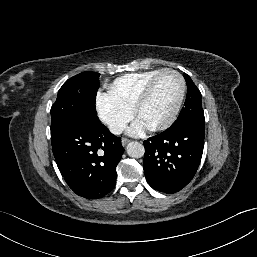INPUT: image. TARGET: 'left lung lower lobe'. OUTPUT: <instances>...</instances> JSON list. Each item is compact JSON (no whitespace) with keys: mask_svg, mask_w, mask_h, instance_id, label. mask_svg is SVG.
Wrapping results in <instances>:
<instances>
[{"mask_svg":"<svg viewBox=\"0 0 257 257\" xmlns=\"http://www.w3.org/2000/svg\"><path fill=\"white\" fill-rule=\"evenodd\" d=\"M205 122L173 125L144 141L143 168L148 184L164 193H176L194 177L204 147Z\"/></svg>","mask_w":257,"mask_h":257,"instance_id":"left-lung-lower-lobe-1","label":"left lung lower lobe"}]
</instances>
